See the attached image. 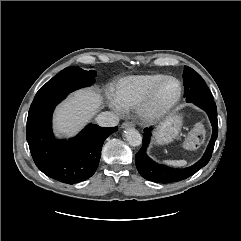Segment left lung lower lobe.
Wrapping results in <instances>:
<instances>
[{
	"label": "left lung lower lobe",
	"mask_w": 241,
	"mask_h": 241,
	"mask_svg": "<svg viewBox=\"0 0 241 241\" xmlns=\"http://www.w3.org/2000/svg\"><path fill=\"white\" fill-rule=\"evenodd\" d=\"M192 103L203 109L208 114L213 127L212 137L205 151V154L197 163L186 169H174L167 167L165 165L157 164L154 161H152L146 154V150L150 143L152 130V128H147L144 130L142 147L136 154V167L141 176L145 179L156 183L178 182L192 176L209 162L218 135L216 104L213 99H197Z\"/></svg>",
	"instance_id": "1"
}]
</instances>
